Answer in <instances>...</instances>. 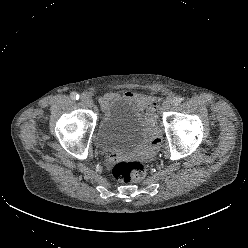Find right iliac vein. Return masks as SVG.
<instances>
[{
  "mask_svg": "<svg viewBox=\"0 0 248 248\" xmlns=\"http://www.w3.org/2000/svg\"><path fill=\"white\" fill-rule=\"evenodd\" d=\"M81 102L88 107H92L93 105L92 99L86 94L81 96Z\"/></svg>",
  "mask_w": 248,
  "mask_h": 248,
  "instance_id": "right-iliac-vein-1",
  "label": "right iliac vein"
}]
</instances>
